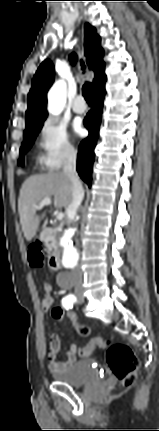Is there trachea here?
Returning <instances> with one entry per match:
<instances>
[{
  "label": "trachea",
  "mask_w": 159,
  "mask_h": 431,
  "mask_svg": "<svg viewBox=\"0 0 159 431\" xmlns=\"http://www.w3.org/2000/svg\"><path fill=\"white\" fill-rule=\"evenodd\" d=\"M82 68L84 69V63L82 62ZM83 96L88 104L93 103V86L91 83L86 82L82 87Z\"/></svg>",
  "instance_id": "3493384b"
}]
</instances>
